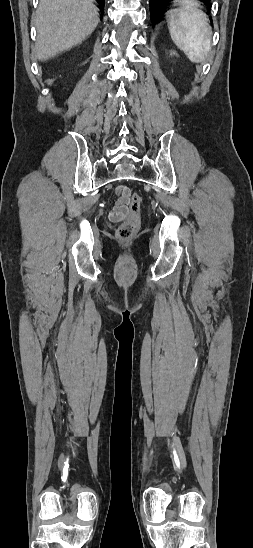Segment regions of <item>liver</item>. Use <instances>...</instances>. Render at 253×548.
Wrapping results in <instances>:
<instances>
[{
	"label": "liver",
	"instance_id": "obj_1",
	"mask_svg": "<svg viewBox=\"0 0 253 548\" xmlns=\"http://www.w3.org/2000/svg\"><path fill=\"white\" fill-rule=\"evenodd\" d=\"M99 23L92 0H40L35 56L45 61L81 44Z\"/></svg>",
	"mask_w": 253,
	"mask_h": 548
}]
</instances>
